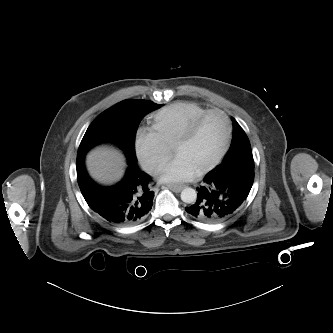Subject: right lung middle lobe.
<instances>
[{
    "label": "right lung middle lobe",
    "mask_w": 333,
    "mask_h": 333,
    "mask_svg": "<svg viewBox=\"0 0 333 333\" xmlns=\"http://www.w3.org/2000/svg\"><path fill=\"white\" fill-rule=\"evenodd\" d=\"M146 100H124L101 113L88 127L78 149L85 154L97 144L110 142L117 145L128 160L137 161L134 152L136 129L149 112L161 107Z\"/></svg>",
    "instance_id": "1"
}]
</instances>
